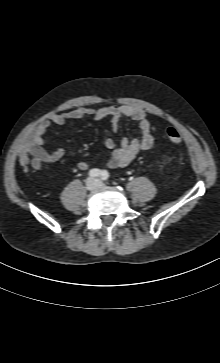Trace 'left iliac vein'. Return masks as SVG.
<instances>
[{
	"label": "left iliac vein",
	"instance_id": "1",
	"mask_svg": "<svg viewBox=\"0 0 220 363\" xmlns=\"http://www.w3.org/2000/svg\"><path fill=\"white\" fill-rule=\"evenodd\" d=\"M97 185L100 186L102 183L99 180H96Z\"/></svg>",
	"mask_w": 220,
	"mask_h": 363
}]
</instances>
